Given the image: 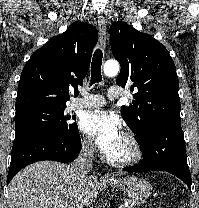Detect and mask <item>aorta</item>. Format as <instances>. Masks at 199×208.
<instances>
[{"instance_id":"1","label":"aorta","mask_w":199,"mask_h":208,"mask_svg":"<svg viewBox=\"0 0 199 208\" xmlns=\"http://www.w3.org/2000/svg\"><path fill=\"white\" fill-rule=\"evenodd\" d=\"M103 72L108 77L116 76L119 72V63L115 60H109L104 64Z\"/></svg>"}]
</instances>
